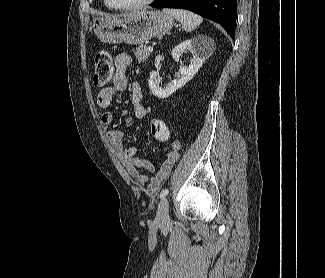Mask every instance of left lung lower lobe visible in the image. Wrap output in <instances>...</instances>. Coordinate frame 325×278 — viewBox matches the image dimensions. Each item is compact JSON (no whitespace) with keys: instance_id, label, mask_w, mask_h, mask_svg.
<instances>
[{"instance_id":"1","label":"left lung lower lobe","mask_w":325,"mask_h":278,"mask_svg":"<svg viewBox=\"0 0 325 278\" xmlns=\"http://www.w3.org/2000/svg\"><path fill=\"white\" fill-rule=\"evenodd\" d=\"M151 6L190 10L219 23L232 38L235 37L236 0H156Z\"/></svg>"}]
</instances>
